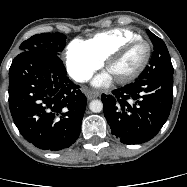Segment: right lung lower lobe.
I'll return each mask as SVG.
<instances>
[{"mask_svg":"<svg viewBox=\"0 0 187 187\" xmlns=\"http://www.w3.org/2000/svg\"><path fill=\"white\" fill-rule=\"evenodd\" d=\"M55 55L21 52L9 69V107L21 135L43 150L68 148L79 137L87 99Z\"/></svg>","mask_w":187,"mask_h":187,"instance_id":"98d812e1","label":"right lung lower lobe"}]
</instances>
